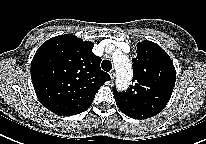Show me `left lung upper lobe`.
Wrapping results in <instances>:
<instances>
[{
	"instance_id": "left-lung-upper-lobe-1",
	"label": "left lung upper lobe",
	"mask_w": 206,
	"mask_h": 144,
	"mask_svg": "<svg viewBox=\"0 0 206 144\" xmlns=\"http://www.w3.org/2000/svg\"><path fill=\"white\" fill-rule=\"evenodd\" d=\"M137 57L133 62V79L126 92L113 89L114 97L135 119L150 118L168 103L175 86L176 73L172 60L157 44L142 41L137 44Z\"/></svg>"
}]
</instances>
